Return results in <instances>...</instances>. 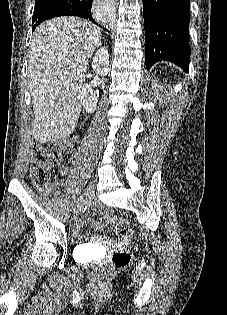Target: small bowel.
Segmentation results:
<instances>
[{
	"mask_svg": "<svg viewBox=\"0 0 227 315\" xmlns=\"http://www.w3.org/2000/svg\"><path fill=\"white\" fill-rule=\"evenodd\" d=\"M60 172H61L62 174H67V172H68V167H67V166H61V167H60ZM82 223H84V224H90L91 221H90L89 218L83 217L82 220L80 221V223L76 225V227H75V230H76V231H77L78 227L80 226V224H82ZM94 225H95L98 229H101V228H102V225H101L100 223H95Z\"/></svg>",
	"mask_w": 227,
	"mask_h": 315,
	"instance_id": "c3829d8e",
	"label": "small bowel"
}]
</instances>
